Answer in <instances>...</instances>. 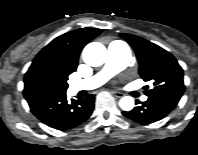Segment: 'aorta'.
I'll return each instance as SVG.
<instances>
[{"label":"aorta","instance_id":"obj_1","mask_svg":"<svg viewBox=\"0 0 198 155\" xmlns=\"http://www.w3.org/2000/svg\"><path fill=\"white\" fill-rule=\"evenodd\" d=\"M83 59L90 66L97 67L104 64L107 58L105 46L99 42H92L83 49ZM134 99L130 96H124L119 101V106L124 111H131L134 108Z\"/></svg>","mask_w":198,"mask_h":155}]
</instances>
